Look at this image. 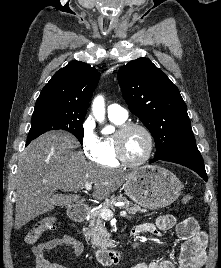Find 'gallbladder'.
Here are the masks:
<instances>
[{
    "label": "gallbladder",
    "instance_id": "obj_1",
    "mask_svg": "<svg viewBox=\"0 0 221 268\" xmlns=\"http://www.w3.org/2000/svg\"><path fill=\"white\" fill-rule=\"evenodd\" d=\"M58 196V204L57 206H67L70 199L65 195H57Z\"/></svg>",
    "mask_w": 221,
    "mask_h": 268
}]
</instances>
